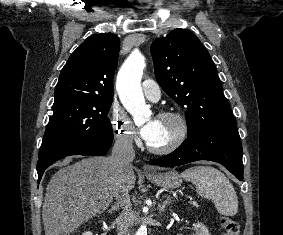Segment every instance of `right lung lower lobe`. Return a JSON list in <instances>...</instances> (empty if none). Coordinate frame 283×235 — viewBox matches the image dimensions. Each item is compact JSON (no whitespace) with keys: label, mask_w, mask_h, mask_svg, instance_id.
Listing matches in <instances>:
<instances>
[{"label":"right lung lower lobe","mask_w":283,"mask_h":235,"mask_svg":"<svg viewBox=\"0 0 283 235\" xmlns=\"http://www.w3.org/2000/svg\"><path fill=\"white\" fill-rule=\"evenodd\" d=\"M113 141V133L96 136L91 139H79L55 148L37 162L38 182L46 168L55 161L69 155L99 156L105 154Z\"/></svg>","instance_id":"1"}]
</instances>
